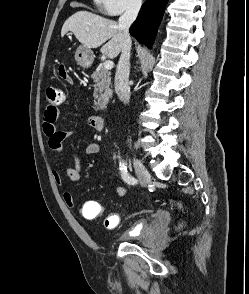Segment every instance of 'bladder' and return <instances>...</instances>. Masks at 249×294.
Returning a JSON list of instances; mask_svg holds the SVG:
<instances>
[{"label": "bladder", "mask_w": 249, "mask_h": 294, "mask_svg": "<svg viewBox=\"0 0 249 294\" xmlns=\"http://www.w3.org/2000/svg\"><path fill=\"white\" fill-rule=\"evenodd\" d=\"M169 220L170 217L166 213L158 216L155 221L139 219L130 230L122 233L119 239L124 242L130 240L143 241L160 229L164 224L168 223Z\"/></svg>", "instance_id": "31cf9c89"}]
</instances>
